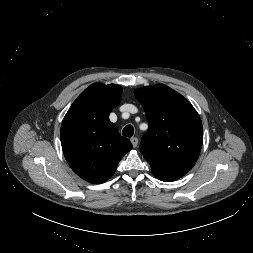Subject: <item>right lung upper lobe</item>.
Returning a JSON list of instances; mask_svg holds the SVG:
<instances>
[{
    "label": "right lung upper lobe",
    "instance_id": "obj_1",
    "mask_svg": "<svg viewBox=\"0 0 253 253\" xmlns=\"http://www.w3.org/2000/svg\"><path fill=\"white\" fill-rule=\"evenodd\" d=\"M121 93L122 87L116 84L89 86L73 102L61 125V144L69 166L93 184L107 181L133 147L109 120Z\"/></svg>",
    "mask_w": 253,
    "mask_h": 253
}]
</instances>
